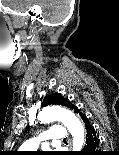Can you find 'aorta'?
I'll return each instance as SVG.
<instances>
[{
  "mask_svg": "<svg viewBox=\"0 0 119 155\" xmlns=\"http://www.w3.org/2000/svg\"><path fill=\"white\" fill-rule=\"evenodd\" d=\"M41 124L60 121L73 136V150L80 151L85 142V132L82 123L71 111L60 106H48L43 108L38 114Z\"/></svg>",
  "mask_w": 119,
  "mask_h": 155,
  "instance_id": "1",
  "label": "aorta"
}]
</instances>
